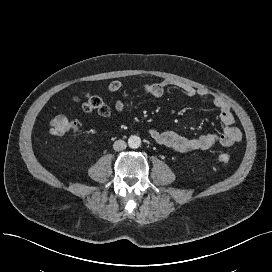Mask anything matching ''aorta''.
<instances>
[{
    "label": "aorta",
    "mask_w": 272,
    "mask_h": 272,
    "mask_svg": "<svg viewBox=\"0 0 272 272\" xmlns=\"http://www.w3.org/2000/svg\"><path fill=\"white\" fill-rule=\"evenodd\" d=\"M128 145L130 148H138L141 146V139L139 136L132 135L128 139Z\"/></svg>",
    "instance_id": "obj_1"
}]
</instances>
